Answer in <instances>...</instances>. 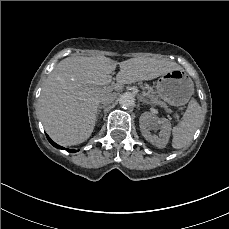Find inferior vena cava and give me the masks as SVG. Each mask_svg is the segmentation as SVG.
<instances>
[{
    "label": "inferior vena cava",
    "mask_w": 229,
    "mask_h": 229,
    "mask_svg": "<svg viewBox=\"0 0 229 229\" xmlns=\"http://www.w3.org/2000/svg\"><path fill=\"white\" fill-rule=\"evenodd\" d=\"M122 97H123V96H122ZM101 103H102L103 105H105V106L108 104V102L105 101L104 99L101 100Z\"/></svg>",
    "instance_id": "1"
}]
</instances>
